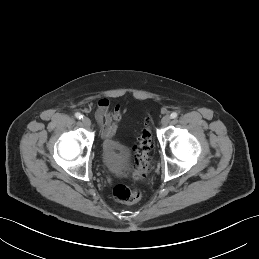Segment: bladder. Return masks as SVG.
<instances>
[{
    "label": "bladder",
    "instance_id": "1",
    "mask_svg": "<svg viewBox=\"0 0 259 259\" xmlns=\"http://www.w3.org/2000/svg\"><path fill=\"white\" fill-rule=\"evenodd\" d=\"M101 160L109 172L122 174L129 161L128 147L116 139H107L102 144Z\"/></svg>",
    "mask_w": 259,
    "mask_h": 259
}]
</instances>
